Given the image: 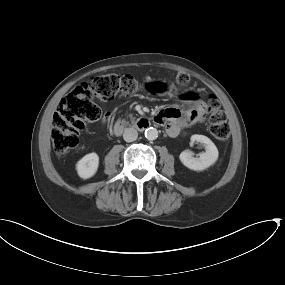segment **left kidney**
<instances>
[{"mask_svg": "<svg viewBox=\"0 0 285 285\" xmlns=\"http://www.w3.org/2000/svg\"><path fill=\"white\" fill-rule=\"evenodd\" d=\"M199 142L204 145L205 152L199 157H193L189 150L181 152L179 159L184 166L194 171H202L213 165L218 159V149L215 144L206 136L195 134L191 136V143Z\"/></svg>", "mask_w": 285, "mask_h": 285, "instance_id": "5707ae66", "label": "left kidney"}]
</instances>
